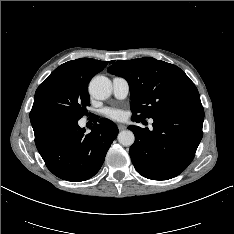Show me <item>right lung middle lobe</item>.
<instances>
[{
	"label": "right lung middle lobe",
	"instance_id": "obj_1",
	"mask_svg": "<svg viewBox=\"0 0 234 234\" xmlns=\"http://www.w3.org/2000/svg\"><path fill=\"white\" fill-rule=\"evenodd\" d=\"M89 99L87 85L68 78H56L38 87L30 116L61 114L80 119L87 114Z\"/></svg>",
	"mask_w": 234,
	"mask_h": 234
}]
</instances>
